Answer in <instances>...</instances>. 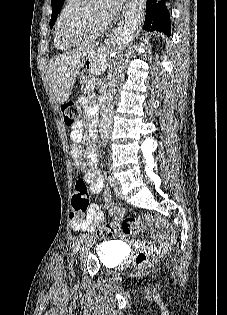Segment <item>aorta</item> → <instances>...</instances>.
Masks as SVG:
<instances>
[{"label":"aorta","mask_w":227,"mask_h":315,"mask_svg":"<svg viewBox=\"0 0 227 315\" xmlns=\"http://www.w3.org/2000/svg\"><path fill=\"white\" fill-rule=\"evenodd\" d=\"M134 29L132 25L125 23L118 27L111 38V48L114 51L122 49L131 39ZM106 97L101 109L100 135L103 146H106L113 120L114 94L116 92V80L110 79L106 86Z\"/></svg>","instance_id":"obj_1"}]
</instances>
